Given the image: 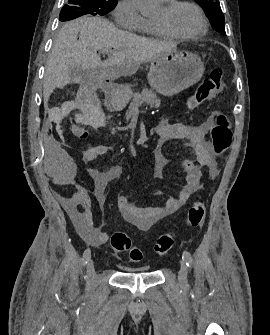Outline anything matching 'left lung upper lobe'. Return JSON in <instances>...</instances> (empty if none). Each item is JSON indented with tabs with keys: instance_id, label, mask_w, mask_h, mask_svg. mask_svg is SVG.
<instances>
[{
	"instance_id": "left-lung-upper-lobe-1",
	"label": "left lung upper lobe",
	"mask_w": 270,
	"mask_h": 335,
	"mask_svg": "<svg viewBox=\"0 0 270 335\" xmlns=\"http://www.w3.org/2000/svg\"><path fill=\"white\" fill-rule=\"evenodd\" d=\"M205 12L207 18L211 22L214 29L226 35L225 32V18L222 13L220 4L215 0H194Z\"/></svg>"
}]
</instances>
